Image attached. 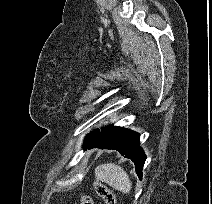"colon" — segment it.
Segmentation results:
<instances>
[{
	"mask_svg": "<svg viewBox=\"0 0 212 204\" xmlns=\"http://www.w3.org/2000/svg\"><path fill=\"white\" fill-rule=\"evenodd\" d=\"M95 192L103 199L105 204H117L114 193L103 183L95 181L93 183ZM81 204H94L91 196L83 194L80 199Z\"/></svg>",
	"mask_w": 212,
	"mask_h": 204,
	"instance_id": "obj_1",
	"label": "colon"
}]
</instances>
